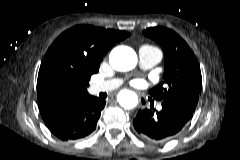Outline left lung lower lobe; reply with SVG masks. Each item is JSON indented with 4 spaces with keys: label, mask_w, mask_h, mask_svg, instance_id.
<instances>
[{
    "label": "left lung lower lobe",
    "mask_w": 240,
    "mask_h": 160,
    "mask_svg": "<svg viewBox=\"0 0 240 160\" xmlns=\"http://www.w3.org/2000/svg\"><path fill=\"white\" fill-rule=\"evenodd\" d=\"M193 113L173 104L162 103V110H139L133 120L137 134L146 141L162 143L173 138L192 118Z\"/></svg>",
    "instance_id": "0a47b994"
}]
</instances>
